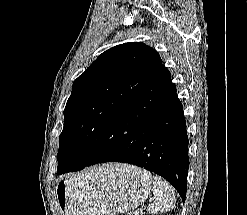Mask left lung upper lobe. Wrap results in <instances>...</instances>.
Instances as JSON below:
<instances>
[{
    "mask_svg": "<svg viewBox=\"0 0 247 215\" xmlns=\"http://www.w3.org/2000/svg\"><path fill=\"white\" fill-rule=\"evenodd\" d=\"M161 63L153 48L139 42L124 43L102 53L74 81L59 136L58 174L78 162L85 146L100 149L102 137Z\"/></svg>",
    "mask_w": 247,
    "mask_h": 215,
    "instance_id": "left-lung-upper-lobe-1",
    "label": "left lung upper lobe"
}]
</instances>
